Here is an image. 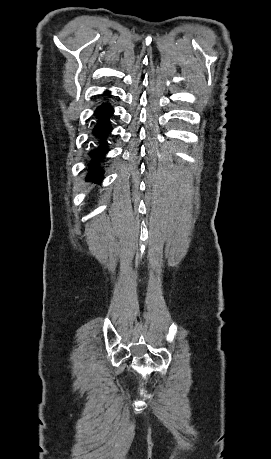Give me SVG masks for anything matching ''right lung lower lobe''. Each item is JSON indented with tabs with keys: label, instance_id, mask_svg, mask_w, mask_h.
I'll return each mask as SVG.
<instances>
[{
	"label": "right lung lower lobe",
	"instance_id": "1",
	"mask_svg": "<svg viewBox=\"0 0 271 459\" xmlns=\"http://www.w3.org/2000/svg\"><path fill=\"white\" fill-rule=\"evenodd\" d=\"M107 94V92H105ZM113 108L109 103H102L95 110L96 123L92 128V139L95 145L91 146L88 153L91 160L86 169L88 171L87 179L99 183L103 178L104 169L102 163L103 157L109 151L108 143L106 141L109 133L112 131L110 124V117L113 114Z\"/></svg>",
	"mask_w": 271,
	"mask_h": 459
}]
</instances>
